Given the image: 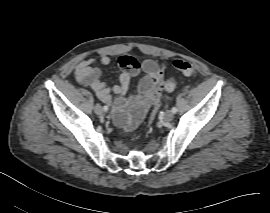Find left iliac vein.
I'll list each match as a JSON object with an SVG mask.
<instances>
[{
  "label": "left iliac vein",
  "mask_w": 270,
  "mask_h": 213,
  "mask_svg": "<svg viewBox=\"0 0 270 213\" xmlns=\"http://www.w3.org/2000/svg\"><path fill=\"white\" fill-rule=\"evenodd\" d=\"M174 118V114L171 110H167L164 113L163 119L167 122H170Z\"/></svg>",
  "instance_id": "1"
}]
</instances>
